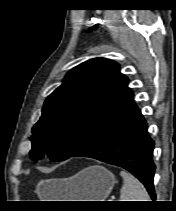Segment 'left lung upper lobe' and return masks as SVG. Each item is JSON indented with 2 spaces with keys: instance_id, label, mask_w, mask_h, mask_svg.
Returning <instances> with one entry per match:
<instances>
[{
  "instance_id": "obj_1",
  "label": "left lung upper lobe",
  "mask_w": 176,
  "mask_h": 211,
  "mask_svg": "<svg viewBox=\"0 0 176 211\" xmlns=\"http://www.w3.org/2000/svg\"><path fill=\"white\" fill-rule=\"evenodd\" d=\"M120 65L94 58L70 70L45 101L32 129L31 159L72 157L107 120L133 102Z\"/></svg>"
}]
</instances>
